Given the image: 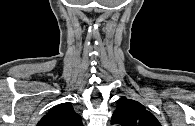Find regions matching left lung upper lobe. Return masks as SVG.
<instances>
[{"instance_id": "5c2ea615", "label": "left lung upper lobe", "mask_w": 195, "mask_h": 126, "mask_svg": "<svg viewBox=\"0 0 195 126\" xmlns=\"http://www.w3.org/2000/svg\"><path fill=\"white\" fill-rule=\"evenodd\" d=\"M111 124L121 126H161L156 117L138 101L121 97L112 115Z\"/></svg>"}]
</instances>
